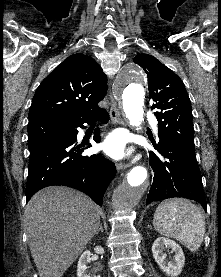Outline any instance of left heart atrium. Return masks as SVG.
<instances>
[{"mask_svg":"<svg viewBox=\"0 0 221 277\" xmlns=\"http://www.w3.org/2000/svg\"><path fill=\"white\" fill-rule=\"evenodd\" d=\"M126 143V136L120 131H114L105 137L102 148L110 157L120 159L128 153Z\"/></svg>","mask_w":221,"mask_h":277,"instance_id":"left-heart-atrium-1","label":"left heart atrium"}]
</instances>
